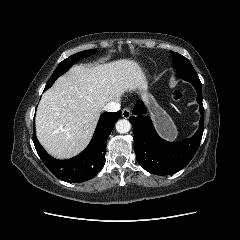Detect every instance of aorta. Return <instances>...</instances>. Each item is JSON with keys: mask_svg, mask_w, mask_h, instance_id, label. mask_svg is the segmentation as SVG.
<instances>
[{"mask_svg": "<svg viewBox=\"0 0 240 240\" xmlns=\"http://www.w3.org/2000/svg\"><path fill=\"white\" fill-rule=\"evenodd\" d=\"M116 131L120 134H125L130 131L131 123L126 119H120L116 122Z\"/></svg>", "mask_w": 240, "mask_h": 240, "instance_id": "aorta-1", "label": "aorta"}]
</instances>
